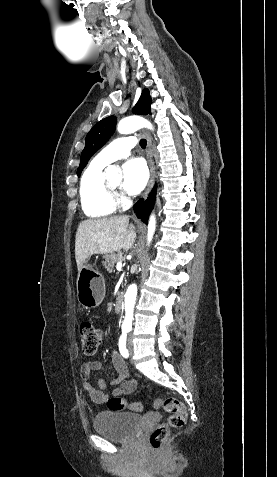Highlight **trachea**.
I'll list each match as a JSON object with an SVG mask.
<instances>
[{"instance_id": "3493384b", "label": "trachea", "mask_w": 277, "mask_h": 477, "mask_svg": "<svg viewBox=\"0 0 277 477\" xmlns=\"http://www.w3.org/2000/svg\"><path fill=\"white\" fill-rule=\"evenodd\" d=\"M146 145H147V141L145 139H141L140 140V146L141 148L145 149L146 148Z\"/></svg>"}]
</instances>
